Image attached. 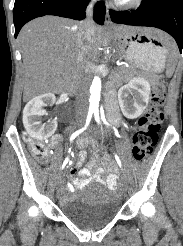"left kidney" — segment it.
Returning a JSON list of instances; mask_svg holds the SVG:
<instances>
[{"label": "left kidney", "instance_id": "obj_1", "mask_svg": "<svg viewBox=\"0 0 183 246\" xmlns=\"http://www.w3.org/2000/svg\"><path fill=\"white\" fill-rule=\"evenodd\" d=\"M150 92V84L143 77H134L128 84L120 87L118 101L124 116L129 119L139 117L146 109Z\"/></svg>", "mask_w": 183, "mask_h": 246}]
</instances>
